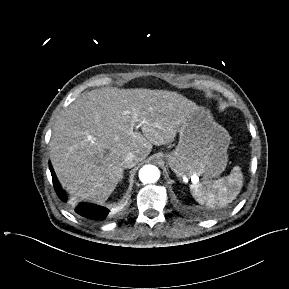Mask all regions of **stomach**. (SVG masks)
Here are the masks:
<instances>
[{"label": "stomach", "instance_id": "1", "mask_svg": "<svg viewBox=\"0 0 289 289\" xmlns=\"http://www.w3.org/2000/svg\"><path fill=\"white\" fill-rule=\"evenodd\" d=\"M230 140L228 131L213 120L210 111L196 106L179 129L175 150L160 156L177 177L209 179L225 170Z\"/></svg>", "mask_w": 289, "mask_h": 289}]
</instances>
